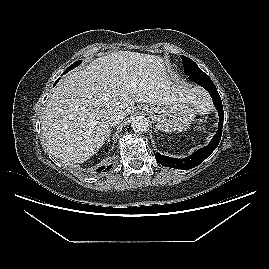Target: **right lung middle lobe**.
<instances>
[{"instance_id":"obj_1","label":"right lung middle lobe","mask_w":269,"mask_h":269,"mask_svg":"<svg viewBox=\"0 0 269 269\" xmlns=\"http://www.w3.org/2000/svg\"><path fill=\"white\" fill-rule=\"evenodd\" d=\"M80 63H81V61H77V62L73 63L65 71L68 72V71L72 70L73 68L77 67Z\"/></svg>"}]
</instances>
